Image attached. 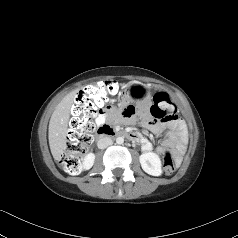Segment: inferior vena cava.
<instances>
[{
	"mask_svg": "<svg viewBox=\"0 0 238 238\" xmlns=\"http://www.w3.org/2000/svg\"><path fill=\"white\" fill-rule=\"evenodd\" d=\"M112 140L109 137H102L98 140L97 146L99 149H105L108 146L112 145Z\"/></svg>",
	"mask_w": 238,
	"mask_h": 238,
	"instance_id": "inferior-vena-cava-1",
	"label": "inferior vena cava"
}]
</instances>
